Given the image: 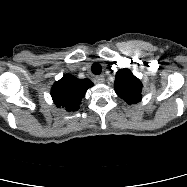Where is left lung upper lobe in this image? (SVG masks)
Instances as JSON below:
<instances>
[{
  "label": "left lung upper lobe",
  "mask_w": 187,
  "mask_h": 187,
  "mask_svg": "<svg viewBox=\"0 0 187 187\" xmlns=\"http://www.w3.org/2000/svg\"><path fill=\"white\" fill-rule=\"evenodd\" d=\"M115 78L114 88L119 97L128 104H135L141 100L142 83L129 69H120Z\"/></svg>",
  "instance_id": "1"
}]
</instances>
